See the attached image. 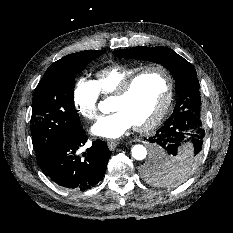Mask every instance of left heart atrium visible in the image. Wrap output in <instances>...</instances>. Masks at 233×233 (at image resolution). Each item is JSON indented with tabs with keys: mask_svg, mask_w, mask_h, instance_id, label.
I'll list each match as a JSON object with an SVG mask.
<instances>
[{
	"mask_svg": "<svg viewBox=\"0 0 233 233\" xmlns=\"http://www.w3.org/2000/svg\"><path fill=\"white\" fill-rule=\"evenodd\" d=\"M134 125L130 118L120 110H114L111 114L100 118L92 127L96 136L114 139L125 134Z\"/></svg>",
	"mask_w": 233,
	"mask_h": 233,
	"instance_id": "1",
	"label": "left heart atrium"
}]
</instances>
